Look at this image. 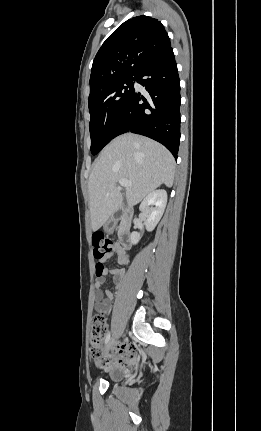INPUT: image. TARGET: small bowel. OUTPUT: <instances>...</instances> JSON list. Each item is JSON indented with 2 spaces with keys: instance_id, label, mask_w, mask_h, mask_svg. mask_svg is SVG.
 <instances>
[{
  "instance_id": "obj_1",
  "label": "small bowel",
  "mask_w": 261,
  "mask_h": 431,
  "mask_svg": "<svg viewBox=\"0 0 261 431\" xmlns=\"http://www.w3.org/2000/svg\"><path fill=\"white\" fill-rule=\"evenodd\" d=\"M116 254L117 255V262L121 265H124L128 263V255L123 250V248L118 244L113 245L112 252L108 255L110 257L111 255ZM106 275H112L114 277L115 283L118 285L120 282V279L124 275L123 269H111V268H104L102 275L97 276L95 281V287H96V305L95 308L97 311L107 314L109 313L111 309V305L113 302V299L115 297V291L113 290H106L103 291L101 289V286L104 282V277Z\"/></svg>"
}]
</instances>
